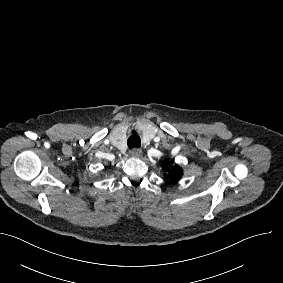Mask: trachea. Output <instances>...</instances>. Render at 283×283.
I'll list each match as a JSON object with an SVG mask.
<instances>
[{
	"label": "trachea",
	"mask_w": 283,
	"mask_h": 283,
	"mask_svg": "<svg viewBox=\"0 0 283 283\" xmlns=\"http://www.w3.org/2000/svg\"><path fill=\"white\" fill-rule=\"evenodd\" d=\"M127 144L129 149L133 148H140L141 146V139L138 134H136L135 131H133V134L128 138Z\"/></svg>",
	"instance_id": "3493384b"
}]
</instances>
